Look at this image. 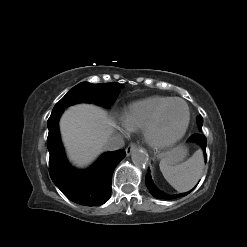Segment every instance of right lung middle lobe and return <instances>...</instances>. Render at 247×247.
<instances>
[{
    "label": "right lung middle lobe",
    "mask_w": 247,
    "mask_h": 247,
    "mask_svg": "<svg viewBox=\"0 0 247 247\" xmlns=\"http://www.w3.org/2000/svg\"><path fill=\"white\" fill-rule=\"evenodd\" d=\"M123 84L99 83L91 84L82 82L73 87L53 108L64 109L79 102H93L99 105L109 106L120 92Z\"/></svg>",
    "instance_id": "dd1d6c3e"
}]
</instances>
